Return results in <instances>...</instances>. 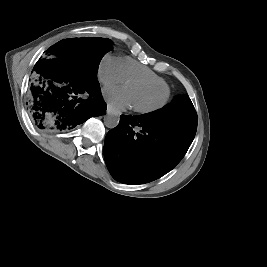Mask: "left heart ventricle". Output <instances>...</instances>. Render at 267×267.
<instances>
[{"label":"left heart ventricle","mask_w":267,"mask_h":267,"mask_svg":"<svg viewBox=\"0 0 267 267\" xmlns=\"http://www.w3.org/2000/svg\"><path fill=\"white\" fill-rule=\"evenodd\" d=\"M126 87L131 94L133 106L137 107L155 105L165 96V89L148 83L131 82Z\"/></svg>","instance_id":"left-heart-ventricle-1"}]
</instances>
